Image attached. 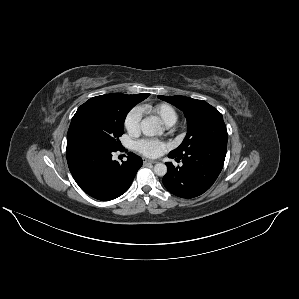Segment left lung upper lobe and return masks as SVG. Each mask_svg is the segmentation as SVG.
I'll return each mask as SVG.
<instances>
[{
	"label": "left lung upper lobe",
	"mask_w": 299,
	"mask_h": 299,
	"mask_svg": "<svg viewBox=\"0 0 299 299\" xmlns=\"http://www.w3.org/2000/svg\"><path fill=\"white\" fill-rule=\"evenodd\" d=\"M182 110L187 118V135L182 144L171 151L181 157L190 151L212 143H227L228 134L222 114L203 100L184 96H158Z\"/></svg>",
	"instance_id": "1"
}]
</instances>
